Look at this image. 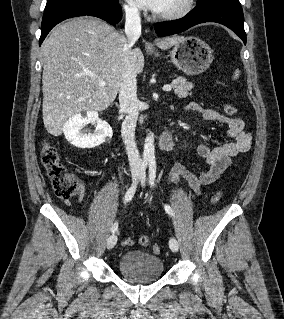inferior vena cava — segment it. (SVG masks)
Returning a JSON list of instances; mask_svg holds the SVG:
<instances>
[{"label":"inferior vena cava","instance_id":"1","mask_svg":"<svg viewBox=\"0 0 284 319\" xmlns=\"http://www.w3.org/2000/svg\"><path fill=\"white\" fill-rule=\"evenodd\" d=\"M125 34L130 47L141 35V18L137 9L126 10ZM120 112L126 117L122 123V138L132 171L140 170L142 159L135 143V129L139 112L136 73L128 68L119 90Z\"/></svg>","mask_w":284,"mask_h":319}]
</instances>
